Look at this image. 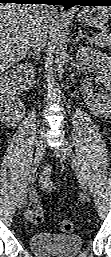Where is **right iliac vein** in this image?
Segmentation results:
<instances>
[{
  "label": "right iliac vein",
  "instance_id": "63e3f726",
  "mask_svg": "<svg viewBox=\"0 0 111 257\" xmlns=\"http://www.w3.org/2000/svg\"><path fill=\"white\" fill-rule=\"evenodd\" d=\"M45 152V141L44 139L41 137L38 142H37V147H36V152H35V157H34V162H33V167L31 170V175L29 176V180L31 181L33 178V175L37 169V166L39 165L41 159L43 158ZM25 202H26V197L25 196H21L18 202V209H22L25 206Z\"/></svg>",
  "mask_w": 111,
  "mask_h": 257
}]
</instances>
